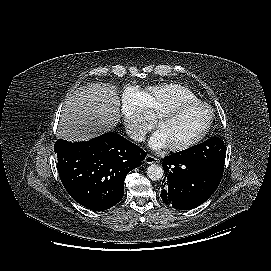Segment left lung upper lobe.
<instances>
[{
    "label": "left lung upper lobe",
    "instance_id": "1",
    "mask_svg": "<svg viewBox=\"0 0 271 271\" xmlns=\"http://www.w3.org/2000/svg\"><path fill=\"white\" fill-rule=\"evenodd\" d=\"M180 157L195 159L211 169L224 171L226 145L219 137H214L186 150L176 153Z\"/></svg>",
    "mask_w": 271,
    "mask_h": 271
}]
</instances>
